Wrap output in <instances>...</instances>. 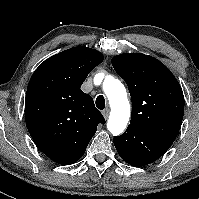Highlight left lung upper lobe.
Instances as JSON below:
<instances>
[{"mask_svg":"<svg viewBox=\"0 0 199 199\" xmlns=\"http://www.w3.org/2000/svg\"><path fill=\"white\" fill-rule=\"evenodd\" d=\"M112 66L129 88L130 124L174 142L182 124L184 96L172 72L141 53L114 56Z\"/></svg>","mask_w":199,"mask_h":199,"instance_id":"5c2ea615","label":"left lung upper lobe"}]
</instances>
